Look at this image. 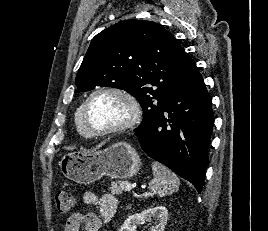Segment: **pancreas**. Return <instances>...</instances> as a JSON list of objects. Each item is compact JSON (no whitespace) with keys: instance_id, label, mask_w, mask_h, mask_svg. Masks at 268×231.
Segmentation results:
<instances>
[{"instance_id":"cf45deb5","label":"pancreas","mask_w":268,"mask_h":231,"mask_svg":"<svg viewBox=\"0 0 268 231\" xmlns=\"http://www.w3.org/2000/svg\"><path fill=\"white\" fill-rule=\"evenodd\" d=\"M126 184L123 182H112L111 186L109 187V189L111 190L112 194H122V192L125 190Z\"/></svg>"}]
</instances>
